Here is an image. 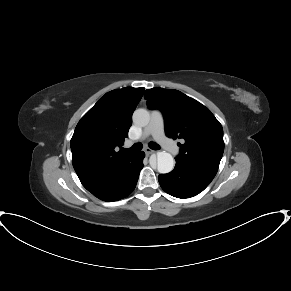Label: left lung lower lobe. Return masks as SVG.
Wrapping results in <instances>:
<instances>
[{"label":"left lung lower lobe","mask_w":291,"mask_h":291,"mask_svg":"<svg viewBox=\"0 0 291 291\" xmlns=\"http://www.w3.org/2000/svg\"><path fill=\"white\" fill-rule=\"evenodd\" d=\"M217 171L176 160L173 171L160 174L162 189L177 198H189L203 191L215 177Z\"/></svg>","instance_id":"left-lung-lower-lobe-1"}]
</instances>
